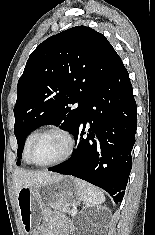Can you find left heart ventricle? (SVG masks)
<instances>
[{"label": "left heart ventricle", "mask_w": 155, "mask_h": 235, "mask_svg": "<svg viewBox=\"0 0 155 235\" xmlns=\"http://www.w3.org/2000/svg\"><path fill=\"white\" fill-rule=\"evenodd\" d=\"M67 150V141L59 133H48L33 147L32 159L39 164L50 163L61 158Z\"/></svg>", "instance_id": "b2bd125f"}]
</instances>
